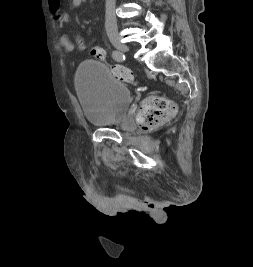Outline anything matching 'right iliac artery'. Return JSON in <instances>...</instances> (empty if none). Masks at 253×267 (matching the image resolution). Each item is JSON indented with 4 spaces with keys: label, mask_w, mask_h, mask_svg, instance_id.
Wrapping results in <instances>:
<instances>
[{
    "label": "right iliac artery",
    "mask_w": 253,
    "mask_h": 267,
    "mask_svg": "<svg viewBox=\"0 0 253 267\" xmlns=\"http://www.w3.org/2000/svg\"><path fill=\"white\" fill-rule=\"evenodd\" d=\"M112 57L114 60H116L118 62H122L125 60V55L122 52H119L117 50L113 51Z\"/></svg>",
    "instance_id": "82829eb1"
}]
</instances>
